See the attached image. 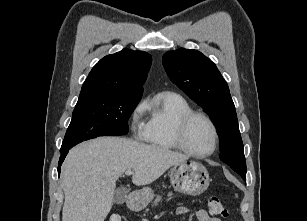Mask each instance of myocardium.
I'll list each match as a JSON object with an SVG mask.
<instances>
[{"label":"myocardium","instance_id":"obj_1","mask_svg":"<svg viewBox=\"0 0 307 221\" xmlns=\"http://www.w3.org/2000/svg\"><path fill=\"white\" fill-rule=\"evenodd\" d=\"M197 117L204 119L210 125L212 132H213V146L211 150L207 153H196L192 151L185 142V135H186L187 128L189 124L192 122V120ZM175 142H176L177 147L181 151L186 153L187 155L191 157H195V158H207L213 155L218 148V145H219L218 128L215 122L207 114L200 112V111H191V112L184 114L179 119L177 126H176V130H175Z\"/></svg>","mask_w":307,"mask_h":221}]
</instances>
